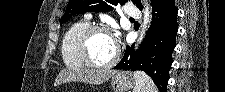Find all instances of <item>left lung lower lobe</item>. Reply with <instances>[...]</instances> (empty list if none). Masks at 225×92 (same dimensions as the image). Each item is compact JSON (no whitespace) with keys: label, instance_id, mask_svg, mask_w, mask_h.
Listing matches in <instances>:
<instances>
[{"label":"left lung lower lobe","instance_id":"1","mask_svg":"<svg viewBox=\"0 0 225 92\" xmlns=\"http://www.w3.org/2000/svg\"><path fill=\"white\" fill-rule=\"evenodd\" d=\"M152 10L151 26L140 48L134 52V45L127 46L124 57L114 69L144 71L161 92H166L176 46L178 11L174 0H158Z\"/></svg>","mask_w":225,"mask_h":92}]
</instances>
